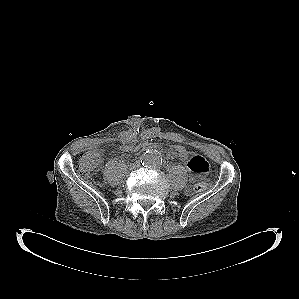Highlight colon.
Instances as JSON below:
<instances>
[{
  "label": "colon",
  "mask_w": 299,
  "mask_h": 299,
  "mask_svg": "<svg viewBox=\"0 0 299 299\" xmlns=\"http://www.w3.org/2000/svg\"><path fill=\"white\" fill-rule=\"evenodd\" d=\"M125 144L123 142L121 147ZM138 151L143 150L151 145L150 142L145 141L139 144H135ZM168 147L184 162L186 163L190 158V151L182 145H168ZM99 154L96 151H85L80 153L77 161V170L83 175L93 174L98 165ZM211 183L209 179L197 183L194 187L196 192H203L210 187Z\"/></svg>",
  "instance_id": "obj_1"
}]
</instances>
